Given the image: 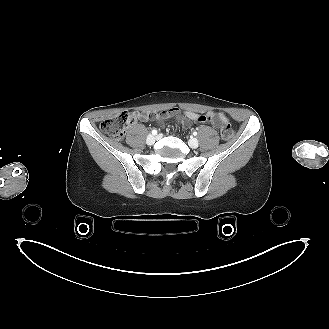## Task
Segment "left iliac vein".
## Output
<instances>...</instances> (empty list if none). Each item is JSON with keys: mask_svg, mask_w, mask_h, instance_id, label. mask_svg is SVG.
<instances>
[{"mask_svg": "<svg viewBox=\"0 0 329 329\" xmlns=\"http://www.w3.org/2000/svg\"><path fill=\"white\" fill-rule=\"evenodd\" d=\"M188 144L191 148L193 149H196L198 146H199V142L196 138H191L189 141H188Z\"/></svg>", "mask_w": 329, "mask_h": 329, "instance_id": "obj_1", "label": "left iliac vein"}]
</instances>
